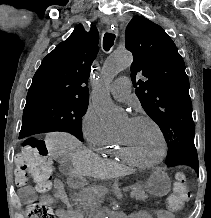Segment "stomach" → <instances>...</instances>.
<instances>
[{
  "label": "stomach",
  "instance_id": "obj_1",
  "mask_svg": "<svg viewBox=\"0 0 211 218\" xmlns=\"http://www.w3.org/2000/svg\"><path fill=\"white\" fill-rule=\"evenodd\" d=\"M145 189L152 195L164 196L171 187L169 176L163 171H155L145 184Z\"/></svg>",
  "mask_w": 211,
  "mask_h": 218
}]
</instances>
